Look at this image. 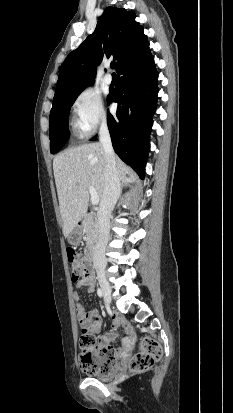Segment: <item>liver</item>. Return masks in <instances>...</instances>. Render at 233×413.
Here are the masks:
<instances>
[{
	"mask_svg": "<svg viewBox=\"0 0 233 413\" xmlns=\"http://www.w3.org/2000/svg\"><path fill=\"white\" fill-rule=\"evenodd\" d=\"M115 160L122 183L136 178L133 173V179L127 178L129 168L118 157ZM105 167L106 157L101 143L68 148L54 158L53 171L65 238L87 212L90 186L102 199Z\"/></svg>",
	"mask_w": 233,
	"mask_h": 413,
	"instance_id": "1",
	"label": "liver"
}]
</instances>
